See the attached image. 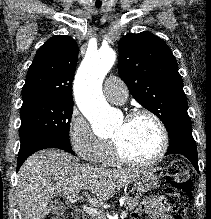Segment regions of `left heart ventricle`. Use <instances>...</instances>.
<instances>
[{
	"label": "left heart ventricle",
	"mask_w": 211,
	"mask_h": 219,
	"mask_svg": "<svg viewBox=\"0 0 211 219\" xmlns=\"http://www.w3.org/2000/svg\"><path fill=\"white\" fill-rule=\"evenodd\" d=\"M111 139L118 143L129 158L147 160L158 152L161 136L154 121L140 116L132 121H121L114 128Z\"/></svg>",
	"instance_id": "1"
}]
</instances>
